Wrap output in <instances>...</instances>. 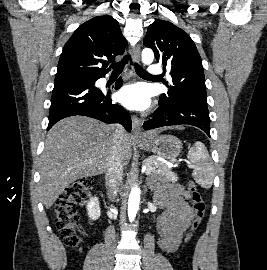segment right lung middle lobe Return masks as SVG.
<instances>
[{"label": "right lung middle lobe", "instance_id": "right-lung-middle-lobe-1", "mask_svg": "<svg viewBox=\"0 0 267 270\" xmlns=\"http://www.w3.org/2000/svg\"><path fill=\"white\" fill-rule=\"evenodd\" d=\"M92 78L90 76L76 75V74H66L55 77V83L59 82H87Z\"/></svg>", "mask_w": 267, "mask_h": 270}]
</instances>
